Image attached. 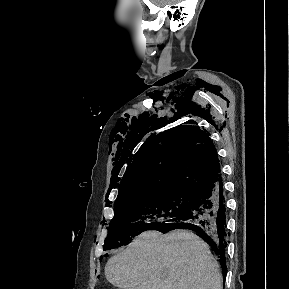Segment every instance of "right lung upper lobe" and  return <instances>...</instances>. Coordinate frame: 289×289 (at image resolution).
Masks as SVG:
<instances>
[{
    "label": "right lung upper lobe",
    "mask_w": 289,
    "mask_h": 289,
    "mask_svg": "<svg viewBox=\"0 0 289 289\" xmlns=\"http://www.w3.org/2000/svg\"><path fill=\"white\" fill-rule=\"evenodd\" d=\"M174 127L148 139L135 154L120 183L119 203L159 192H197L221 177L209 133L191 125Z\"/></svg>",
    "instance_id": "obj_1"
}]
</instances>
